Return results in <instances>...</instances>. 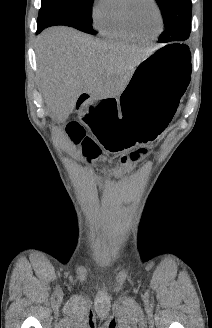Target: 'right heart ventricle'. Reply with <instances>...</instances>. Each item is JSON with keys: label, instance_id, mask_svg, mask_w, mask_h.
I'll list each match as a JSON object with an SVG mask.
<instances>
[{"label": "right heart ventricle", "instance_id": "e07e8e85", "mask_svg": "<svg viewBox=\"0 0 212 328\" xmlns=\"http://www.w3.org/2000/svg\"><path fill=\"white\" fill-rule=\"evenodd\" d=\"M126 0H100L95 12L94 23L103 36L122 42H138L143 37L135 33L125 17Z\"/></svg>", "mask_w": 212, "mask_h": 328}]
</instances>
